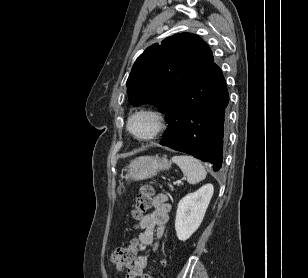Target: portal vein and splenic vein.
<instances>
[{
    "label": "portal vein and splenic vein",
    "instance_id": "18ae733b",
    "mask_svg": "<svg viewBox=\"0 0 308 278\" xmlns=\"http://www.w3.org/2000/svg\"><path fill=\"white\" fill-rule=\"evenodd\" d=\"M181 183V180H177L174 182V184H180Z\"/></svg>",
    "mask_w": 308,
    "mask_h": 278
}]
</instances>
